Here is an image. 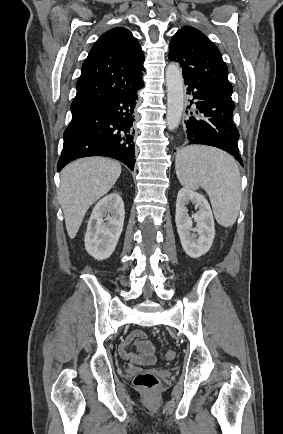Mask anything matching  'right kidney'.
<instances>
[{
  "mask_svg": "<svg viewBox=\"0 0 283 434\" xmlns=\"http://www.w3.org/2000/svg\"><path fill=\"white\" fill-rule=\"evenodd\" d=\"M124 203L117 193L102 198L94 207L85 234L86 251L97 260L114 252L124 225Z\"/></svg>",
  "mask_w": 283,
  "mask_h": 434,
  "instance_id": "right-kidney-1",
  "label": "right kidney"
}]
</instances>
